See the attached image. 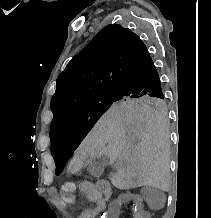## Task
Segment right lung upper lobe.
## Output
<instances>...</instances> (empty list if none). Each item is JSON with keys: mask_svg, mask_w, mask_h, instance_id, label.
<instances>
[{"mask_svg": "<svg viewBox=\"0 0 211 218\" xmlns=\"http://www.w3.org/2000/svg\"><path fill=\"white\" fill-rule=\"evenodd\" d=\"M149 56L142 40L129 29L117 24L104 27L58 76L51 100L53 121L89 99L116 92Z\"/></svg>", "mask_w": 211, "mask_h": 218, "instance_id": "1", "label": "right lung upper lobe"}]
</instances>
